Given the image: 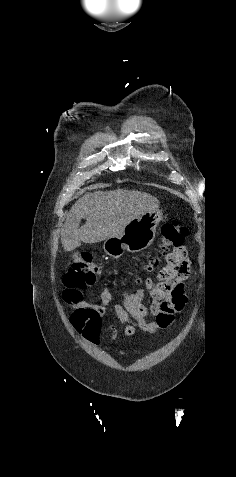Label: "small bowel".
Instances as JSON below:
<instances>
[{"label": "small bowel", "mask_w": 236, "mask_h": 477, "mask_svg": "<svg viewBox=\"0 0 236 477\" xmlns=\"http://www.w3.org/2000/svg\"><path fill=\"white\" fill-rule=\"evenodd\" d=\"M189 270V262L186 257L181 267L184 274L170 282L172 288L169 291H166L160 282L155 283L152 278H146L144 286L150 293L149 305L144 304L145 293L142 288L122 293L121 303L114 304L112 310L116 323L123 328L125 335L132 336L136 329L152 334L168 330L172 326L175 315L180 313L187 303L183 283ZM63 298L73 308L70 315V324L73 330L87 341L98 344L102 331L101 321L107 311V306L113 299L108 285L103 284L98 304L74 301L67 291L63 293ZM150 318L153 320H149ZM114 332L115 327L113 326L109 333V339L113 338Z\"/></svg>", "instance_id": "1"}]
</instances>
